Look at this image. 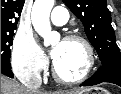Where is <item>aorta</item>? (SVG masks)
<instances>
[{"instance_id":"aorta-1","label":"aorta","mask_w":121,"mask_h":94,"mask_svg":"<svg viewBox=\"0 0 121 94\" xmlns=\"http://www.w3.org/2000/svg\"><path fill=\"white\" fill-rule=\"evenodd\" d=\"M54 6V0H35L31 20L36 32L43 37L44 45L48 46L59 34L51 30L50 12Z\"/></svg>"}]
</instances>
